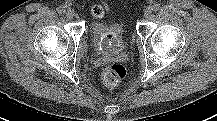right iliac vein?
Segmentation results:
<instances>
[{"label":"right iliac vein","instance_id":"right-iliac-vein-1","mask_svg":"<svg viewBox=\"0 0 217 121\" xmlns=\"http://www.w3.org/2000/svg\"><path fill=\"white\" fill-rule=\"evenodd\" d=\"M66 17H67L69 20H71V19H73V17H74V13H73L71 10H68V11L66 12Z\"/></svg>","mask_w":217,"mask_h":121}]
</instances>
